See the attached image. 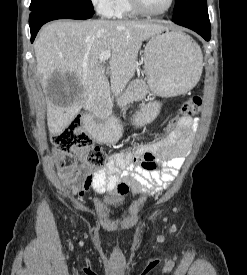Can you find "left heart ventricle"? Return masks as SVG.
<instances>
[{
    "mask_svg": "<svg viewBox=\"0 0 247 275\" xmlns=\"http://www.w3.org/2000/svg\"><path fill=\"white\" fill-rule=\"evenodd\" d=\"M145 6L152 11H161L165 9L170 0H143Z\"/></svg>",
    "mask_w": 247,
    "mask_h": 275,
    "instance_id": "obj_1",
    "label": "left heart ventricle"
}]
</instances>
